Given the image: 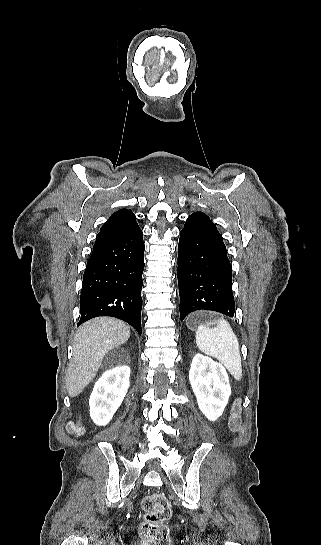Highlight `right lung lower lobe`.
Returning <instances> with one entry per match:
<instances>
[{
    "label": "right lung lower lobe",
    "mask_w": 321,
    "mask_h": 545,
    "mask_svg": "<svg viewBox=\"0 0 321 545\" xmlns=\"http://www.w3.org/2000/svg\"><path fill=\"white\" fill-rule=\"evenodd\" d=\"M143 270V233L138 224L97 239L83 275L78 325L112 316L128 322L141 335Z\"/></svg>",
    "instance_id": "98d812e1"
}]
</instances>
